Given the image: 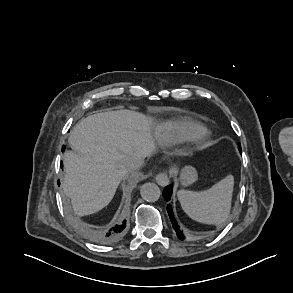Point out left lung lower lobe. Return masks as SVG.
<instances>
[{
	"label": "left lung lower lobe",
	"mask_w": 293,
	"mask_h": 293,
	"mask_svg": "<svg viewBox=\"0 0 293 293\" xmlns=\"http://www.w3.org/2000/svg\"><path fill=\"white\" fill-rule=\"evenodd\" d=\"M239 150L241 151V149H239ZM171 194H172V186H167L163 191L164 198L168 201L171 197ZM167 211H168L171 223L173 225V228L177 233L178 238L183 240L184 236H183L182 232L180 231V227L178 226L176 220L174 219L172 207L170 204L167 205Z\"/></svg>",
	"instance_id": "1"
}]
</instances>
